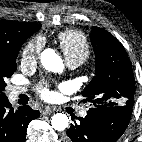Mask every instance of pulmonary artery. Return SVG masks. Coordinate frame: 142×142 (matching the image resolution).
<instances>
[{"mask_svg": "<svg viewBox=\"0 0 142 142\" xmlns=\"http://www.w3.org/2000/svg\"><path fill=\"white\" fill-rule=\"evenodd\" d=\"M66 62H67V66L70 69H75V68H77L81 64V62L77 61V60H66ZM24 91H25V89L22 88V87H12L9 90V99L11 101H14ZM86 115H87V111L86 110H82L80 112V116L81 117H86Z\"/></svg>", "mask_w": 142, "mask_h": 142, "instance_id": "e3ab8cb5", "label": "pulmonary artery"}]
</instances>
